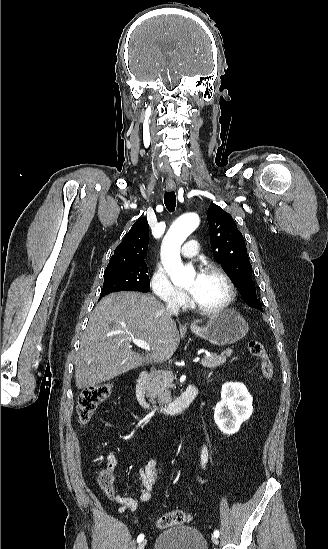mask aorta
Returning <instances> with one entry per match:
<instances>
[{
    "instance_id": "obj_1",
    "label": "aorta",
    "mask_w": 328,
    "mask_h": 549,
    "mask_svg": "<svg viewBox=\"0 0 328 549\" xmlns=\"http://www.w3.org/2000/svg\"><path fill=\"white\" fill-rule=\"evenodd\" d=\"M199 217L188 213L177 218L164 238L165 269L176 286H186L195 277L191 267H184L180 257V247L187 237L198 227Z\"/></svg>"
}]
</instances>
